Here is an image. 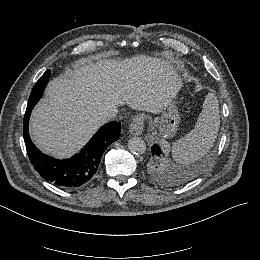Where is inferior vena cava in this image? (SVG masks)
Instances as JSON below:
<instances>
[{
	"label": "inferior vena cava",
	"instance_id": "obj_1",
	"mask_svg": "<svg viewBox=\"0 0 260 260\" xmlns=\"http://www.w3.org/2000/svg\"><path fill=\"white\" fill-rule=\"evenodd\" d=\"M123 105L121 101L117 100L115 103L109 104L107 107L106 116L109 118H113L118 113V106Z\"/></svg>",
	"mask_w": 260,
	"mask_h": 260
}]
</instances>
